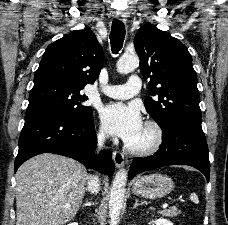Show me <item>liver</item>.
Wrapping results in <instances>:
<instances>
[{
    "instance_id": "1",
    "label": "liver",
    "mask_w": 228,
    "mask_h": 225,
    "mask_svg": "<svg viewBox=\"0 0 228 225\" xmlns=\"http://www.w3.org/2000/svg\"><path fill=\"white\" fill-rule=\"evenodd\" d=\"M15 177L16 225H65L77 215L87 181L78 161L44 153L21 165Z\"/></svg>"
}]
</instances>
